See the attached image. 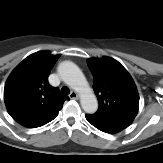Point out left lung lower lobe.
<instances>
[{"label":"left lung lower lobe","instance_id":"1","mask_svg":"<svg viewBox=\"0 0 163 163\" xmlns=\"http://www.w3.org/2000/svg\"><path fill=\"white\" fill-rule=\"evenodd\" d=\"M87 121L97 129L106 133H118L128 127L132 122L126 120H112L95 118L91 115H85Z\"/></svg>","mask_w":163,"mask_h":163}]
</instances>
